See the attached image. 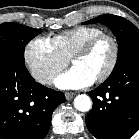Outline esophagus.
Returning <instances> with one entry per match:
<instances>
[{
	"label": "esophagus",
	"instance_id": "esophagus-1",
	"mask_svg": "<svg viewBox=\"0 0 139 139\" xmlns=\"http://www.w3.org/2000/svg\"><path fill=\"white\" fill-rule=\"evenodd\" d=\"M74 93L73 92H65V97L67 100H71L74 97Z\"/></svg>",
	"mask_w": 139,
	"mask_h": 139
}]
</instances>
